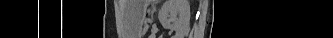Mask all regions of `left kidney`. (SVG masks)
Listing matches in <instances>:
<instances>
[{
	"label": "left kidney",
	"mask_w": 333,
	"mask_h": 38,
	"mask_svg": "<svg viewBox=\"0 0 333 38\" xmlns=\"http://www.w3.org/2000/svg\"><path fill=\"white\" fill-rule=\"evenodd\" d=\"M158 19L163 28L175 31L173 38H184L190 22L188 0H166L158 12Z\"/></svg>",
	"instance_id": "1"
}]
</instances>
